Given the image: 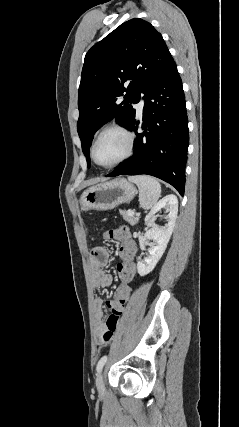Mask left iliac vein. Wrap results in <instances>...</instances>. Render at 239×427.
I'll use <instances>...</instances> for the list:
<instances>
[{
	"label": "left iliac vein",
	"mask_w": 239,
	"mask_h": 427,
	"mask_svg": "<svg viewBox=\"0 0 239 427\" xmlns=\"http://www.w3.org/2000/svg\"><path fill=\"white\" fill-rule=\"evenodd\" d=\"M96 387H97L98 393L101 396L104 395L105 387H104V380H103L102 372H100L96 377Z\"/></svg>",
	"instance_id": "4c4485c4"
}]
</instances>
